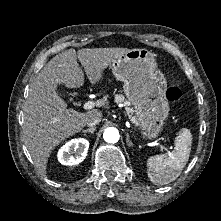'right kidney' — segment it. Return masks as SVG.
<instances>
[{
  "label": "right kidney",
  "instance_id": "right-kidney-1",
  "mask_svg": "<svg viewBox=\"0 0 221 221\" xmlns=\"http://www.w3.org/2000/svg\"><path fill=\"white\" fill-rule=\"evenodd\" d=\"M88 148V140L84 138L72 139L59 149L58 161L63 165H77L86 158Z\"/></svg>",
  "mask_w": 221,
  "mask_h": 221
}]
</instances>
